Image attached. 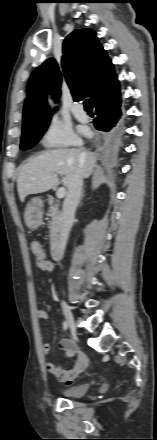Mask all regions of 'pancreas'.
<instances>
[{
  "instance_id": "pancreas-1",
  "label": "pancreas",
  "mask_w": 157,
  "mask_h": 440,
  "mask_svg": "<svg viewBox=\"0 0 157 440\" xmlns=\"http://www.w3.org/2000/svg\"><path fill=\"white\" fill-rule=\"evenodd\" d=\"M48 216L51 217L52 222L50 228V243L54 245L57 242L58 234L61 228V213L56 206H51L48 210Z\"/></svg>"
}]
</instances>
